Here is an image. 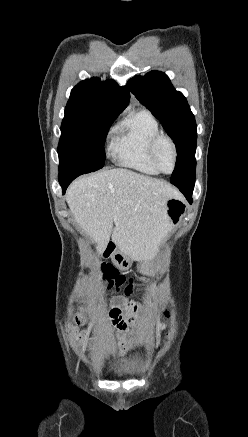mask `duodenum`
<instances>
[{"mask_svg":"<svg viewBox=\"0 0 248 437\" xmlns=\"http://www.w3.org/2000/svg\"><path fill=\"white\" fill-rule=\"evenodd\" d=\"M116 251V246H115V244L114 243H110L108 246H107V248H105L103 251H102V254L105 256V257H112L113 255H114V252Z\"/></svg>","mask_w":248,"mask_h":437,"instance_id":"obj_1","label":"duodenum"}]
</instances>
